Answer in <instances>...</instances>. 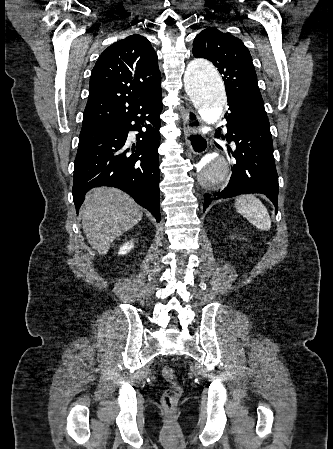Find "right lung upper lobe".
<instances>
[{
	"label": "right lung upper lobe",
	"mask_w": 333,
	"mask_h": 449,
	"mask_svg": "<svg viewBox=\"0 0 333 449\" xmlns=\"http://www.w3.org/2000/svg\"><path fill=\"white\" fill-rule=\"evenodd\" d=\"M157 54L144 36L133 34L109 46L90 77L82 129L117 120L161 95Z\"/></svg>",
	"instance_id": "cb5924a9"
}]
</instances>
